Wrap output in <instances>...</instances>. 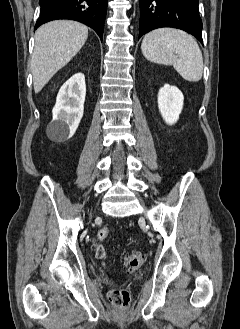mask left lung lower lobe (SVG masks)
Listing matches in <instances>:
<instances>
[{"label":"left lung lower lobe","mask_w":240,"mask_h":329,"mask_svg":"<svg viewBox=\"0 0 240 329\" xmlns=\"http://www.w3.org/2000/svg\"><path fill=\"white\" fill-rule=\"evenodd\" d=\"M139 38L161 27H173L195 36L202 43L198 0H139Z\"/></svg>","instance_id":"obj_1"}]
</instances>
